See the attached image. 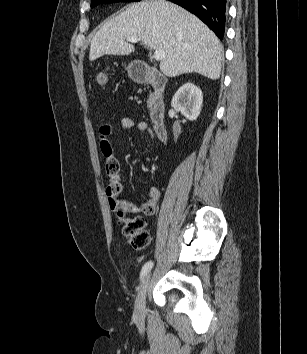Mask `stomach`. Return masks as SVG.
Returning <instances> with one entry per match:
<instances>
[{"instance_id": "obj_1", "label": "stomach", "mask_w": 307, "mask_h": 354, "mask_svg": "<svg viewBox=\"0 0 307 354\" xmlns=\"http://www.w3.org/2000/svg\"><path fill=\"white\" fill-rule=\"evenodd\" d=\"M127 70H128V73L131 77H136L137 76V70H136V67H135V63H131L128 65L127 67Z\"/></svg>"}]
</instances>
